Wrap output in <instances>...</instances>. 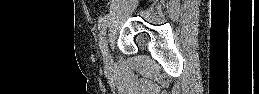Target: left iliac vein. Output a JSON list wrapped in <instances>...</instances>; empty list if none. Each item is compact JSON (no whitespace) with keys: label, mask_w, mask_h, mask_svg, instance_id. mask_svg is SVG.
Instances as JSON below:
<instances>
[{"label":"left iliac vein","mask_w":259,"mask_h":94,"mask_svg":"<svg viewBox=\"0 0 259 94\" xmlns=\"http://www.w3.org/2000/svg\"><path fill=\"white\" fill-rule=\"evenodd\" d=\"M109 24H110V22H109ZM102 51H103V61L106 65H108L111 62V55H110L107 40H105V42L103 43V50Z\"/></svg>","instance_id":"left-iliac-vein-1"}]
</instances>
